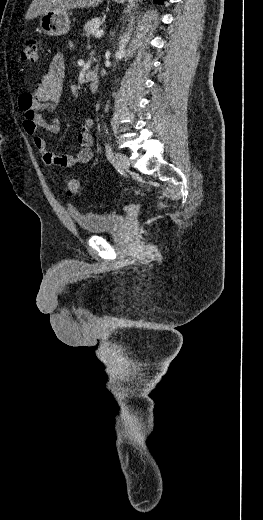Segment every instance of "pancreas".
<instances>
[{
  "instance_id": "cf45deb5",
  "label": "pancreas",
  "mask_w": 263,
  "mask_h": 520,
  "mask_svg": "<svg viewBox=\"0 0 263 520\" xmlns=\"http://www.w3.org/2000/svg\"><path fill=\"white\" fill-rule=\"evenodd\" d=\"M102 24L101 19L99 17H95L89 20L83 27L86 35L88 37L95 35L98 31L99 26Z\"/></svg>"
}]
</instances>
